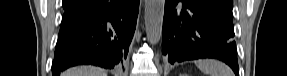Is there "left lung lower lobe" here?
<instances>
[{"label":"left lung lower lobe","instance_id":"1","mask_svg":"<svg viewBox=\"0 0 287 76\" xmlns=\"http://www.w3.org/2000/svg\"><path fill=\"white\" fill-rule=\"evenodd\" d=\"M182 2V10L175 9ZM162 54L171 64L217 58L239 76L232 19L195 0H165Z\"/></svg>","mask_w":287,"mask_h":76}]
</instances>
